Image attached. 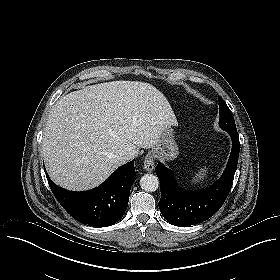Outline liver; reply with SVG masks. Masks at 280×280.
Returning a JSON list of instances; mask_svg holds the SVG:
<instances>
[{
	"mask_svg": "<svg viewBox=\"0 0 280 280\" xmlns=\"http://www.w3.org/2000/svg\"><path fill=\"white\" fill-rule=\"evenodd\" d=\"M176 124L166 97L149 83L90 85L51 108L41 150L57 185L88 190L125 163V152L154 148L163 131Z\"/></svg>",
	"mask_w": 280,
	"mask_h": 280,
	"instance_id": "1",
	"label": "liver"
}]
</instances>
